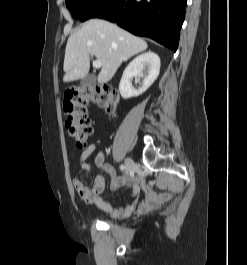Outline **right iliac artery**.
I'll return each mask as SVG.
<instances>
[{"label": "right iliac artery", "mask_w": 247, "mask_h": 265, "mask_svg": "<svg viewBox=\"0 0 247 265\" xmlns=\"http://www.w3.org/2000/svg\"><path fill=\"white\" fill-rule=\"evenodd\" d=\"M120 169L121 170H124L125 169V166L122 164V165H120Z\"/></svg>", "instance_id": "right-iliac-artery-1"}]
</instances>
